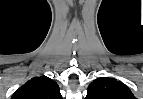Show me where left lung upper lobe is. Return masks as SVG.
Instances as JSON below:
<instances>
[{"mask_svg":"<svg viewBox=\"0 0 143 99\" xmlns=\"http://www.w3.org/2000/svg\"><path fill=\"white\" fill-rule=\"evenodd\" d=\"M86 99H137L122 82L111 77L97 78L88 86Z\"/></svg>","mask_w":143,"mask_h":99,"instance_id":"1","label":"left lung upper lobe"}]
</instances>
